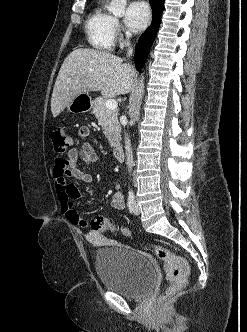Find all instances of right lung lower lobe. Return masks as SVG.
<instances>
[{"label":"right lung lower lobe","instance_id":"right-lung-lower-lobe-1","mask_svg":"<svg viewBox=\"0 0 247 332\" xmlns=\"http://www.w3.org/2000/svg\"><path fill=\"white\" fill-rule=\"evenodd\" d=\"M153 11L152 24L140 37L134 55L137 70L143 67L161 22L164 0H149Z\"/></svg>","mask_w":247,"mask_h":332}]
</instances>
